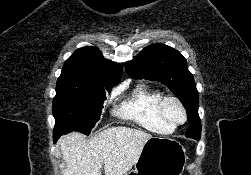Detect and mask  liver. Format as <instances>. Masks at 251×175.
I'll use <instances>...</instances> for the list:
<instances>
[{"instance_id":"obj_1","label":"liver","mask_w":251,"mask_h":175,"mask_svg":"<svg viewBox=\"0 0 251 175\" xmlns=\"http://www.w3.org/2000/svg\"><path fill=\"white\" fill-rule=\"evenodd\" d=\"M150 133L131 127H108L95 137L72 131L60 137L64 175H126L136 163Z\"/></svg>"}]
</instances>
